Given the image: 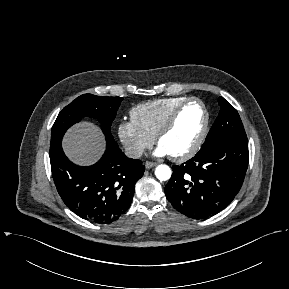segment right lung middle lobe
I'll return each mask as SVG.
<instances>
[{
    "label": "right lung middle lobe",
    "instance_id": "obj_1",
    "mask_svg": "<svg viewBox=\"0 0 289 289\" xmlns=\"http://www.w3.org/2000/svg\"><path fill=\"white\" fill-rule=\"evenodd\" d=\"M122 100L121 97H102L91 94L77 97L59 113L53 124L50 154L61 145L66 130L85 116L100 121L105 136L113 138L110 127Z\"/></svg>",
    "mask_w": 289,
    "mask_h": 289
}]
</instances>
